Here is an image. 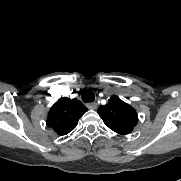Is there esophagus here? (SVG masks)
Segmentation results:
<instances>
[{
  "instance_id": "1",
  "label": "esophagus",
  "mask_w": 181,
  "mask_h": 181,
  "mask_svg": "<svg viewBox=\"0 0 181 181\" xmlns=\"http://www.w3.org/2000/svg\"><path fill=\"white\" fill-rule=\"evenodd\" d=\"M86 106L88 109L95 110L97 108V103L91 102V103H88Z\"/></svg>"
}]
</instances>
